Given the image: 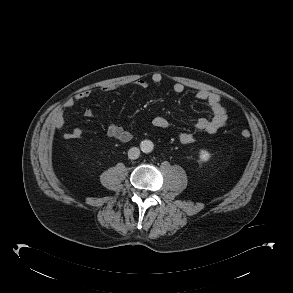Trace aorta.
Listing matches in <instances>:
<instances>
[{
	"instance_id": "762f6f07",
	"label": "aorta",
	"mask_w": 293,
	"mask_h": 293,
	"mask_svg": "<svg viewBox=\"0 0 293 293\" xmlns=\"http://www.w3.org/2000/svg\"><path fill=\"white\" fill-rule=\"evenodd\" d=\"M140 148H141L142 152L150 153V152H152V150L154 148V145H153L152 141L144 140V141L141 142Z\"/></svg>"
}]
</instances>
